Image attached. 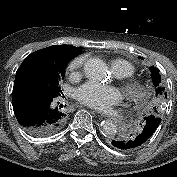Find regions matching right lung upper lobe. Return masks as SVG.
Returning a JSON list of instances; mask_svg holds the SVG:
<instances>
[{"mask_svg":"<svg viewBox=\"0 0 177 177\" xmlns=\"http://www.w3.org/2000/svg\"><path fill=\"white\" fill-rule=\"evenodd\" d=\"M81 52L80 47L71 45H53L28 55L16 72L14 86L29 74H46L62 69Z\"/></svg>","mask_w":177,"mask_h":177,"instance_id":"1","label":"right lung upper lobe"}]
</instances>
